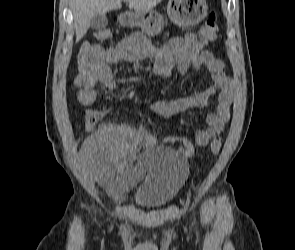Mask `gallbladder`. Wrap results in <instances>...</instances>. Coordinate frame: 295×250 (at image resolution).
<instances>
[{
  "label": "gallbladder",
  "mask_w": 295,
  "mask_h": 250,
  "mask_svg": "<svg viewBox=\"0 0 295 250\" xmlns=\"http://www.w3.org/2000/svg\"><path fill=\"white\" fill-rule=\"evenodd\" d=\"M108 25V19L105 14L96 15L91 19L90 27L93 30H103Z\"/></svg>",
  "instance_id": "obj_1"
}]
</instances>
